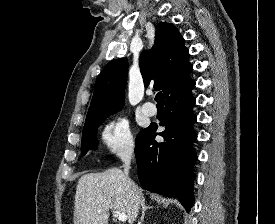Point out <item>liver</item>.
<instances>
[{
	"label": "liver",
	"instance_id": "1",
	"mask_svg": "<svg viewBox=\"0 0 275 224\" xmlns=\"http://www.w3.org/2000/svg\"><path fill=\"white\" fill-rule=\"evenodd\" d=\"M145 202L142 190L120 169L82 175L74 202V224H108L109 210L127 216L129 224L137 218Z\"/></svg>",
	"mask_w": 275,
	"mask_h": 224
}]
</instances>
